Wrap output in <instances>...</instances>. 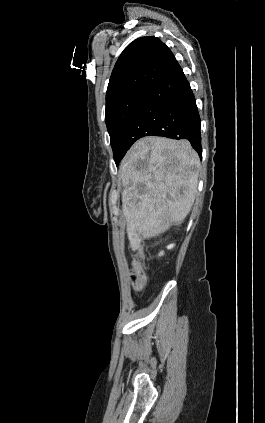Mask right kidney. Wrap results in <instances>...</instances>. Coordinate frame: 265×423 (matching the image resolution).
Returning a JSON list of instances; mask_svg holds the SVG:
<instances>
[{"mask_svg":"<svg viewBox=\"0 0 265 423\" xmlns=\"http://www.w3.org/2000/svg\"><path fill=\"white\" fill-rule=\"evenodd\" d=\"M174 247V244H170L167 248L168 249H172ZM163 255V252H161L160 254H159V256H162Z\"/></svg>","mask_w":265,"mask_h":423,"instance_id":"ca27d5eb","label":"right kidney"}]
</instances>
